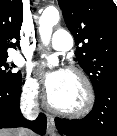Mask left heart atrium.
Returning <instances> with one entry per match:
<instances>
[{
  "mask_svg": "<svg viewBox=\"0 0 117 136\" xmlns=\"http://www.w3.org/2000/svg\"><path fill=\"white\" fill-rule=\"evenodd\" d=\"M66 72L67 71L62 68L42 72L45 80V86L49 95L62 85Z\"/></svg>",
  "mask_w": 117,
  "mask_h": 136,
  "instance_id": "39dd6f15",
  "label": "left heart atrium"
}]
</instances>
